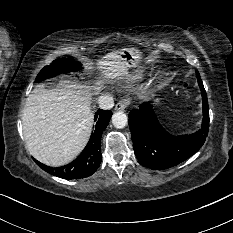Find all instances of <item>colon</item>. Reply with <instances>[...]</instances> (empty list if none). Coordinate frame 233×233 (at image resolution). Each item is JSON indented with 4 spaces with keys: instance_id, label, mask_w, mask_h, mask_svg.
<instances>
[{
    "instance_id": "5ec220e1",
    "label": "colon",
    "mask_w": 233,
    "mask_h": 233,
    "mask_svg": "<svg viewBox=\"0 0 233 233\" xmlns=\"http://www.w3.org/2000/svg\"><path fill=\"white\" fill-rule=\"evenodd\" d=\"M183 94L187 98L190 97V95H191V91H190L188 83L183 84Z\"/></svg>"
}]
</instances>
